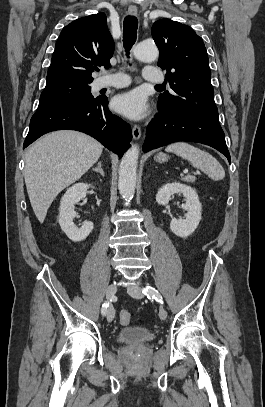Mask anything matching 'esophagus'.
I'll list each match as a JSON object with an SVG mask.
<instances>
[{
	"label": "esophagus",
	"instance_id": "34e87169",
	"mask_svg": "<svg viewBox=\"0 0 265 407\" xmlns=\"http://www.w3.org/2000/svg\"><path fill=\"white\" fill-rule=\"evenodd\" d=\"M128 13L132 16H136L138 13L136 6H129ZM132 135L134 140H138L141 137V128L139 125H134L132 128Z\"/></svg>",
	"mask_w": 265,
	"mask_h": 407
}]
</instances>
